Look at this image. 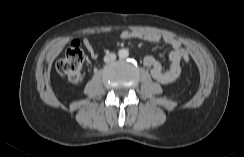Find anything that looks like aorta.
Returning <instances> with one entry per match:
<instances>
[{
	"instance_id": "1",
	"label": "aorta",
	"mask_w": 244,
	"mask_h": 157,
	"mask_svg": "<svg viewBox=\"0 0 244 157\" xmlns=\"http://www.w3.org/2000/svg\"><path fill=\"white\" fill-rule=\"evenodd\" d=\"M128 55H129V51H128V49H120L119 52H118V56H119V58H121V59H125V58H127Z\"/></svg>"
}]
</instances>
